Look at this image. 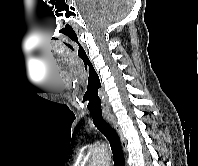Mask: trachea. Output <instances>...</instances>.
I'll return each instance as SVG.
<instances>
[{
    "label": "trachea",
    "instance_id": "trachea-1",
    "mask_svg": "<svg viewBox=\"0 0 198 166\" xmlns=\"http://www.w3.org/2000/svg\"><path fill=\"white\" fill-rule=\"evenodd\" d=\"M91 116L97 129H99L110 142L114 166H125L124 153L116 130L105 121L102 113H91Z\"/></svg>",
    "mask_w": 198,
    "mask_h": 166
}]
</instances>
